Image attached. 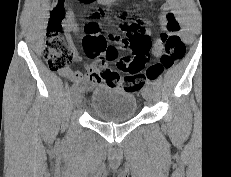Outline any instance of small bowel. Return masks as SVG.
<instances>
[{
  "label": "small bowel",
  "instance_id": "1",
  "mask_svg": "<svg viewBox=\"0 0 231 177\" xmlns=\"http://www.w3.org/2000/svg\"><path fill=\"white\" fill-rule=\"evenodd\" d=\"M113 1L114 0H107V1L99 0V2L104 5H108L109 3ZM150 1H153V0H150ZM55 9L60 10L62 14L61 26L75 33H79V28L74 19V14L70 7V2H66V0H59ZM162 10H163V13L160 16V21L164 25L166 23L167 8L163 7ZM133 22L139 25L141 28H143L148 36L150 35V30L146 27L145 25L146 23L143 19L136 18L133 20ZM163 47L164 45H163L162 39L161 38L156 39L153 43L152 54L154 56H160L162 54ZM75 59L77 61H82V58L77 53H75ZM87 68H88V72L86 74H80L77 72H73L69 69L61 71V74L63 76L70 78L76 84H79L84 89H91L92 87L99 85V84H106L108 86L114 85V84H111L108 78L102 74L103 69L99 62L96 61L91 65H87Z\"/></svg>",
  "mask_w": 231,
  "mask_h": 177
}]
</instances>
